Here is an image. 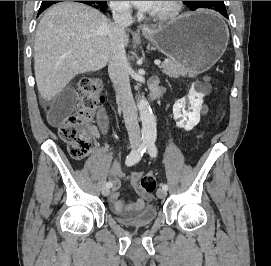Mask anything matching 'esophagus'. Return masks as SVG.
Returning a JSON list of instances; mask_svg holds the SVG:
<instances>
[{
    "label": "esophagus",
    "mask_w": 271,
    "mask_h": 266,
    "mask_svg": "<svg viewBox=\"0 0 271 266\" xmlns=\"http://www.w3.org/2000/svg\"><path fill=\"white\" fill-rule=\"evenodd\" d=\"M152 31V28L147 24H141L138 26V32L140 33H149Z\"/></svg>",
    "instance_id": "esophagus-1"
}]
</instances>
